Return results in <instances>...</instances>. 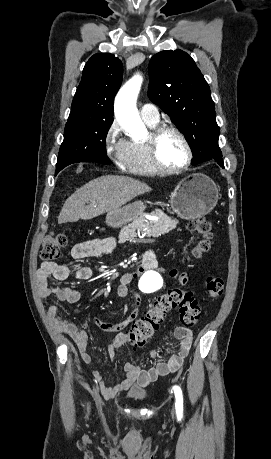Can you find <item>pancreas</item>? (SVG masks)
I'll use <instances>...</instances> for the list:
<instances>
[{
	"label": "pancreas",
	"mask_w": 271,
	"mask_h": 459,
	"mask_svg": "<svg viewBox=\"0 0 271 459\" xmlns=\"http://www.w3.org/2000/svg\"><path fill=\"white\" fill-rule=\"evenodd\" d=\"M156 216H159V220L152 219L150 221L152 237H155L156 235H161V233H167V231L172 232L175 229L176 222H171L168 216H165V214H156ZM145 223L148 224L149 222L147 220H144L142 222V225L144 226ZM136 228H138L137 222H133V224H129V226H124V228H122L120 231V239H127V237H132V235H134L135 237H140L141 233L135 232ZM142 233L144 235H147L149 233V230L145 228L142 230Z\"/></svg>",
	"instance_id": "cf45deb5"
}]
</instances>
